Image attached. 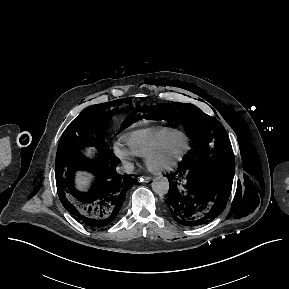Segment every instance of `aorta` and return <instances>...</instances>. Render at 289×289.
<instances>
[{"label":"aorta","mask_w":289,"mask_h":289,"mask_svg":"<svg viewBox=\"0 0 289 289\" xmlns=\"http://www.w3.org/2000/svg\"><path fill=\"white\" fill-rule=\"evenodd\" d=\"M152 190L158 195H165L169 191V181L166 177H158L153 180Z\"/></svg>","instance_id":"aorta-1"}]
</instances>
